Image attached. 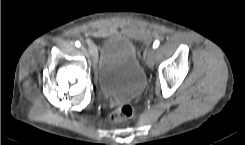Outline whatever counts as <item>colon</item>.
I'll use <instances>...</instances> for the list:
<instances>
[{
	"label": "colon",
	"instance_id": "1",
	"mask_svg": "<svg viewBox=\"0 0 245 145\" xmlns=\"http://www.w3.org/2000/svg\"><path fill=\"white\" fill-rule=\"evenodd\" d=\"M133 113V107L129 104H125L111 114L110 122L112 124L125 122L132 117Z\"/></svg>",
	"mask_w": 245,
	"mask_h": 145
}]
</instances>
